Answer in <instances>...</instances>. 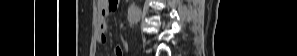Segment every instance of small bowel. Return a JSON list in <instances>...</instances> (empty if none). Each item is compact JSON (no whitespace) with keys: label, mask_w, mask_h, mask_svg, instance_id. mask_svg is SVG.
Instances as JSON below:
<instances>
[{"label":"small bowel","mask_w":297,"mask_h":56,"mask_svg":"<svg viewBox=\"0 0 297 56\" xmlns=\"http://www.w3.org/2000/svg\"><path fill=\"white\" fill-rule=\"evenodd\" d=\"M117 0H99L98 8L100 14L99 20V36L98 41L100 43H105L107 41V24L105 21L106 16H108L111 12H113L117 8ZM116 56H122V49L117 47L115 49Z\"/></svg>","instance_id":"c3829d8e"}]
</instances>
